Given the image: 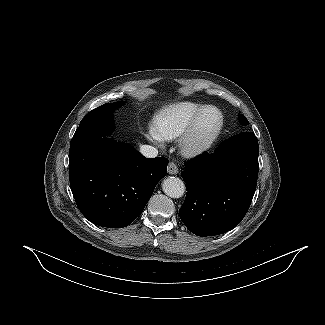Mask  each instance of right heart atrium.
<instances>
[{
    "label": "right heart atrium",
    "mask_w": 325,
    "mask_h": 325,
    "mask_svg": "<svg viewBox=\"0 0 325 325\" xmlns=\"http://www.w3.org/2000/svg\"><path fill=\"white\" fill-rule=\"evenodd\" d=\"M149 138L155 142H158V143H160L162 141V139L155 133L154 130L150 131Z\"/></svg>",
    "instance_id": "1"
}]
</instances>
